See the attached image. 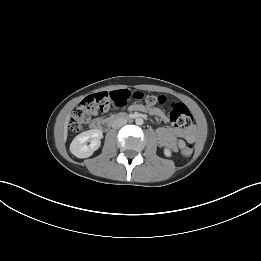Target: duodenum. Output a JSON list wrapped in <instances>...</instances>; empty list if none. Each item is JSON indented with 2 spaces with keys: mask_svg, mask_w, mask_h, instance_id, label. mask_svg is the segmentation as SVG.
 Here are the masks:
<instances>
[{
  "mask_svg": "<svg viewBox=\"0 0 261 261\" xmlns=\"http://www.w3.org/2000/svg\"><path fill=\"white\" fill-rule=\"evenodd\" d=\"M125 119V120H132L133 116H127V115H117L110 119H102L98 120L94 123V127L100 131H107L112 126V123L116 120Z\"/></svg>",
  "mask_w": 261,
  "mask_h": 261,
  "instance_id": "410a0bca",
  "label": "duodenum"
}]
</instances>
